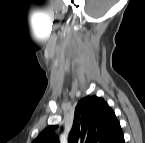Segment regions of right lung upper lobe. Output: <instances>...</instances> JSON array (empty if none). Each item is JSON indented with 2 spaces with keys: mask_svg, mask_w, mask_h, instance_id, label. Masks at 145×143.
Instances as JSON below:
<instances>
[{
  "mask_svg": "<svg viewBox=\"0 0 145 143\" xmlns=\"http://www.w3.org/2000/svg\"><path fill=\"white\" fill-rule=\"evenodd\" d=\"M55 129L47 127L34 143H59ZM69 143H124L120 124L104 99L87 96L78 102Z\"/></svg>",
  "mask_w": 145,
  "mask_h": 143,
  "instance_id": "1",
  "label": "right lung upper lobe"
}]
</instances>
